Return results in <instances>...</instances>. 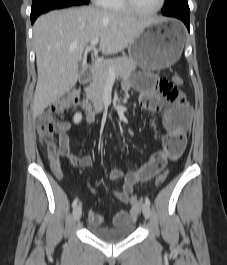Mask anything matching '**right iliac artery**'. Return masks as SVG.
I'll use <instances>...</instances> for the list:
<instances>
[{
  "label": "right iliac artery",
  "instance_id": "right-iliac-artery-1",
  "mask_svg": "<svg viewBox=\"0 0 227 265\" xmlns=\"http://www.w3.org/2000/svg\"><path fill=\"white\" fill-rule=\"evenodd\" d=\"M77 203H78V198H76V199L73 201V203H72V207H75V206L77 205Z\"/></svg>",
  "mask_w": 227,
  "mask_h": 265
}]
</instances>
